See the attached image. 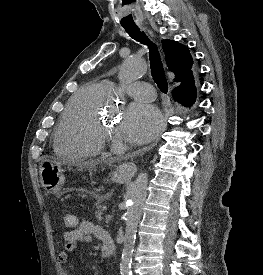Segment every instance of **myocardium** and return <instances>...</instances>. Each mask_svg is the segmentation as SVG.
Listing matches in <instances>:
<instances>
[{"label": "myocardium", "mask_w": 263, "mask_h": 275, "mask_svg": "<svg viewBox=\"0 0 263 275\" xmlns=\"http://www.w3.org/2000/svg\"><path fill=\"white\" fill-rule=\"evenodd\" d=\"M90 135L101 143L102 146L113 140V130L107 126L106 122L99 114L90 127Z\"/></svg>", "instance_id": "obj_1"}]
</instances>
